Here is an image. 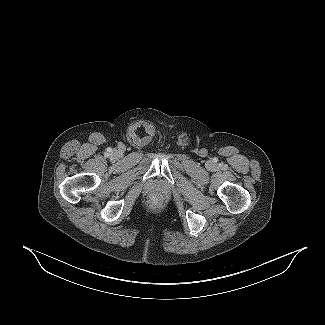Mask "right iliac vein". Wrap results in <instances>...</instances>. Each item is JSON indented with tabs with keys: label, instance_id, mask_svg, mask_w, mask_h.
Returning a JSON list of instances; mask_svg holds the SVG:
<instances>
[{
	"label": "right iliac vein",
	"instance_id": "right-iliac-vein-1",
	"mask_svg": "<svg viewBox=\"0 0 325 325\" xmlns=\"http://www.w3.org/2000/svg\"><path fill=\"white\" fill-rule=\"evenodd\" d=\"M113 155L114 156H118L119 155V152L118 151H114Z\"/></svg>",
	"mask_w": 325,
	"mask_h": 325
}]
</instances>
